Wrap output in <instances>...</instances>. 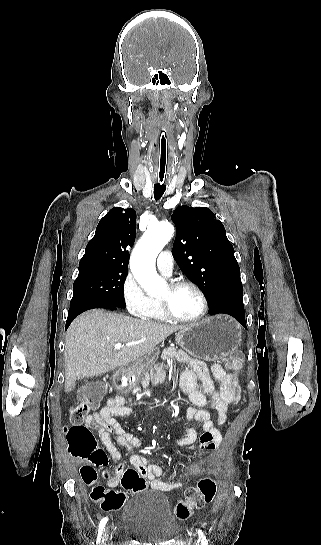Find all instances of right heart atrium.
Wrapping results in <instances>:
<instances>
[{
  "instance_id": "d8ad5b80",
  "label": "right heart atrium",
  "mask_w": 321,
  "mask_h": 545,
  "mask_svg": "<svg viewBox=\"0 0 321 545\" xmlns=\"http://www.w3.org/2000/svg\"><path fill=\"white\" fill-rule=\"evenodd\" d=\"M120 293L127 311L141 319L148 317L154 303L149 300L141 284L132 272H128L120 287Z\"/></svg>"
}]
</instances>
